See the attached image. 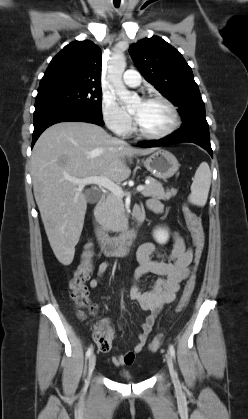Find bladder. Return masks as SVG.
Here are the masks:
<instances>
[{
	"label": "bladder",
	"instance_id": "31cf9c89",
	"mask_svg": "<svg viewBox=\"0 0 248 419\" xmlns=\"http://www.w3.org/2000/svg\"><path fill=\"white\" fill-rule=\"evenodd\" d=\"M118 376L123 380H134V376L127 371H121Z\"/></svg>",
	"mask_w": 248,
	"mask_h": 419
}]
</instances>
